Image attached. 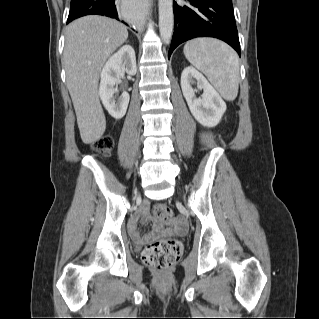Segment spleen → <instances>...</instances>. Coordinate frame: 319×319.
Listing matches in <instances>:
<instances>
[{"label": "spleen", "mask_w": 319, "mask_h": 319, "mask_svg": "<svg viewBox=\"0 0 319 319\" xmlns=\"http://www.w3.org/2000/svg\"><path fill=\"white\" fill-rule=\"evenodd\" d=\"M187 60L202 71L228 101H233L239 88V59L227 44L211 38H197L184 46Z\"/></svg>", "instance_id": "spleen-1"}]
</instances>
